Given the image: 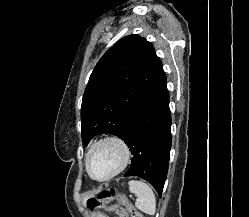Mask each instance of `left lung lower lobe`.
I'll return each mask as SVG.
<instances>
[{
  "label": "left lung lower lobe",
  "mask_w": 249,
  "mask_h": 217,
  "mask_svg": "<svg viewBox=\"0 0 249 217\" xmlns=\"http://www.w3.org/2000/svg\"><path fill=\"white\" fill-rule=\"evenodd\" d=\"M171 116L166 76L163 73L129 112L122 140L133 154L124 176L148 181L161 196L171 148Z\"/></svg>",
  "instance_id": "1"
}]
</instances>
